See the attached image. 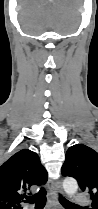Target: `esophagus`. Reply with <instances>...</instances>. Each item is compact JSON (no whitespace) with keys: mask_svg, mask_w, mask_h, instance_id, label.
<instances>
[{"mask_svg":"<svg viewBox=\"0 0 98 209\" xmlns=\"http://www.w3.org/2000/svg\"><path fill=\"white\" fill-rule=\"evenodd\" d=\"M62 184L60 180H56L50 187V191H49V198H50V202L54 205L57 206L58 205V195L62 194Z\"/></svg>","mask_w":98,"mask_h":209,"instance_id":"obj_1","label":"esophagus"}]
</instances>
